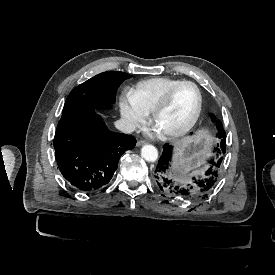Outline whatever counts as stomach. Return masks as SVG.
<instances>
[{
  "mask_svg": "<svg viewBox=\"0 0 275 275\" xmlns=\"http://www.w3.org/2000/svg\"><path fill=\"white\" fill-rule=\"evenodd\" d=\"M200 137L182 141L176 151L174 161L177 170L190 171L203 163L209 154L210 138L205 132H199Z\"/></svg>",
  "mask_w": 275,
  "mask_h": 275,
  "instance_id": "0dacf381",
  "label": "stomach"
}]
</instances>
